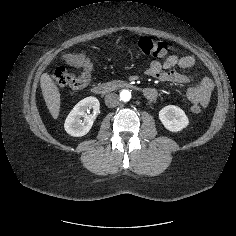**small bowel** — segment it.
I'll use <instances>...</instances> for the list:
<instances>
[{"label":"small bowel","instance_id":"obj_1","mask_svg":"<svg viewBox=\"0 0 236 236\" xmlns=\"http://www.w3.org/2000/svg\"><path fill=\"white\" fill-rule=\"evenodd\" d=\"M196 61L192 56H181L179 54L170 55L165 61L161 62L153 60L145 68V73L153 78L159 79L164 82L174 84H186L190 81L189 77L180 73L175 68L191 69L195 66ZM214 88L213 81L207 76H200L197 78V84L187 88L186 97L193 105L206 107L211 98ZM155 92V95L149 97L154 99L157 92L153 88H147Z\"/></svg>","mask_w":236,"mask_h":236}]
</instances>
